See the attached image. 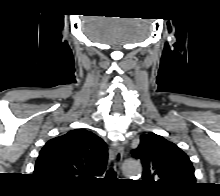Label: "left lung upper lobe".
<instances>
[{
  "label": "left lung upper lobe",
  "instance_id": "5c2ea615",
  "mask_svg": "<svg viewBox=\"0 0 220 196\" xmlns=\"http://www.w3.org/2000/svg\"><path fill=\"white\" fill-rule=\"evenodd\" d=\"M132 155L143 164L144 182L160 192L179 193L195 184L189 157L162 136L152 132L141 136Z\"/></svg>",
  "mask_w": 220,
  "mask_h": 196
}]
</instances>
